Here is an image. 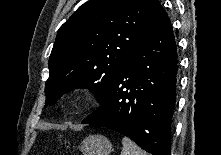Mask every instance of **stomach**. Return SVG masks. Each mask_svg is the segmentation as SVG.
<instances>
[{"label": "stomach", "mask_w": 221, "mask_h": 155, "mask_svg": "<svg viewBox=\"0 0 221 155\" xmlns=\"http://www.w3.org/2000/svg\"><path fill=\"white\" fill-rule=\"evenodd\" d=\"M78 148L83 155H110L113 150L111 142L102 135L86 137Z\"/></svg>", "instance_id": "stomach-1"}]
</instances>
